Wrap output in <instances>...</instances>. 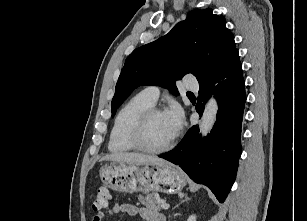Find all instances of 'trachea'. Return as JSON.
Instances as JSON below:
<instances>
[{"instance_id": "1", "label": "trachea", "mask_w": 307, "mask_h": 221, "mask_svg": "<svg viewBox=\"0 0 307 221\" xmlns=\"http://www.w3.org/2000/svg\"><path fill=\"white\" fill-rule=\"evenodd\" d=\"M188 94H192V92H187Z\"/></svg>"}]
</instances>
